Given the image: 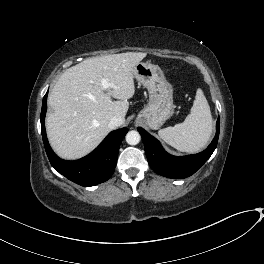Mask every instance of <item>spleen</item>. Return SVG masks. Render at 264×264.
Wrapping results in <instances>:
<instances>
[{"instance_id": "3e777b00", "label": "spleen", "mask_w": 264, "mask_h": 264, "mask_svg": "<svg viewBox=\"0 0 264 264\" xmlns=\"http://www.w3.org/2000/svg\"><path fill=\"white\" fill-rule=\"evenodd\" d=\"M213 129L212 115L208 101L199 88L190 114L183 123L159 130L160 138L173 148L188 153L203 149Z\"/></svg>"}]
</instances>
